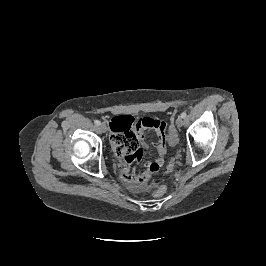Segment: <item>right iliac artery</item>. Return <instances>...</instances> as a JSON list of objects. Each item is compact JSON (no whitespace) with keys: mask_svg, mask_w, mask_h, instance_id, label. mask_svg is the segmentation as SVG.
<instances>
[{"mask_svg":"<svg viewBox=\"0 0 266 266\" xmlns=\"http://www.w3.org/2000/svg\"><path fill=\"white\" fill-rule=\"evenodd\" d=\"M95 124H96V125H100L101 122H100L99 120H95Z\"/></svg>","mask_w":266,"mask_h":266,"instance_id":"82829eb1","label":"right iliac artery"}]
</instances>
